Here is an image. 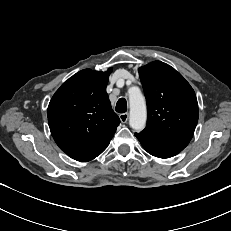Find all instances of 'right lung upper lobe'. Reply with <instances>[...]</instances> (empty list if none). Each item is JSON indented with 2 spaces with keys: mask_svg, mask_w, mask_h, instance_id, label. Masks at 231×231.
I'll use <instances>...</instances> for the list:
<instances>
[{
  "mask_svg": "<svg viewBox=\"0 0 231 231\" xmlns=\"http://www.w3.org/2000/svg\"><path fill=\"white\" fill-rule=\"evenodd\" d=\"M111 71L84 69L64 82L50 100L51 134L59 148L77 161L100 155L120 123L106 93Z\"/></svg>",
  "mask_w": 231,
  "mask_h": 231,
  "instance_id": "right-lung-upper-lobe-1",
  "label": "right lung upper lobe"
}]
</instances>
